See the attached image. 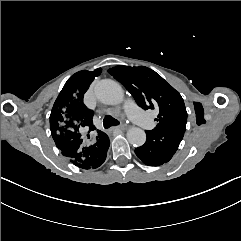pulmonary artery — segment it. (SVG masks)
Segmentation results:
<instances>
[{"label":"pulmonary artery","instance_id":"obj_1","mask_svg":"<svg viewBox=\"0 0 241 241\" xmlns=\"http://www.w3.org/2000/svg\"><path fill=\"white\" fill-rule=\"evenodd\" d=\"M125 111L129 115L130 119L140 126H145L150 121L149 114L142 110L139 104L135 101H130L125 106Z\"/></svg>","mask_w":241,"mask_h":241}]
</instances>
